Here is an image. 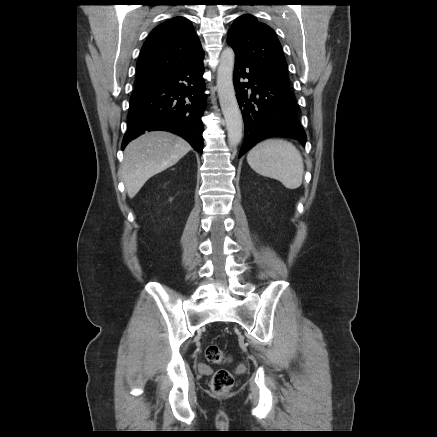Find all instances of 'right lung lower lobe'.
Wrapping results in <instances>:
<instances>
[{"label": "right lung lower lobe", "mask_w": 437, "mask_h": 437, "mask_svg": "<svg viewBox=\"0 0 437 437\" xmlns=\"http://www.w3.org/2000/svg\"><path fill=\"white\" fill-rule=\"evenodd\" d=\"M203 58L135 90L129 101L128 130L122 150L146 130L175 133L203 151L201 117L205 107Z\"/></svg>", "instance_id": "98d812e1"}]
</instances>
